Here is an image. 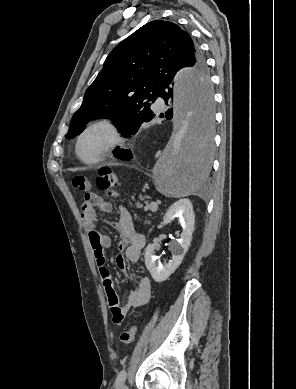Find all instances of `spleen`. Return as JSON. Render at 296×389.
Listing matches in <instances>:
<instances>
[{"mask_svg":"<svg viewBox=\"0 0 296 389\" xmlns=\"http://www.w3.org/2000/svg\"><path fill=\"white\" fill-rule=\"evenodd\" d=\"M193 180H197V179H194V178H192ZM195 188V184L193 183V186H192V189H194Z\"/></svg>","mask_w":296,"mask_h":389,"instance_id":"1","label":"spleen"}]
</instances>
